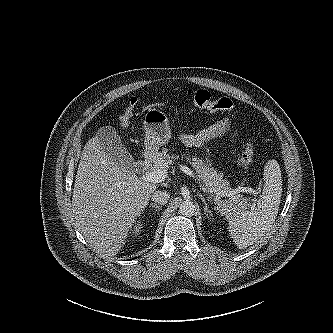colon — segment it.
<instances>
[{
  "label": "colon",
  "mask_w": 333,
  "mask_h": 333,
  "mask_svg": "<svg viewBox=\"0 0 333 333\" xmlns=\"http://www.w3.org/2000/svg\"><path fill=\"white\" fill-rule=\"evenodd\" d=\"M187 96L191 103L200 108L205 109L208 111L216 112V111H223V112H232L233 111V103L229 98L226 97H214L210 92L207 90L202 89H190L187 93ZM137 102V98H133L131 105L121 113L120 115V124L123 127L129 125L130 120L133 115V108ZM240 164L244 169H247L253 160V145L250 141H247L240 153L239 156Z\"/></svg>",
  "instance_id": "obj_1"
}]
</instances>
